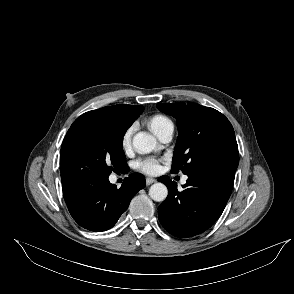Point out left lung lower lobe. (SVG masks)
<instances>
[{
    "mask_svg": "<svg viewBox=\"0 0 294 294\" xmlns=\"http://www.w3.org/2000/svg\"><path fill=\"white\" fill-rule=\"evenodd\" d=\"M238 162V152L220 156L199 173L189 175L181 192L168 176L160 177L169 191L158 207L162 226L178 238L192 237L210 228L231 195Z\"/></svg>",
    "mask_w": 294,
    "mask_h": 294,
    "instance_id": "1",
    "label": "left lung lower lobe"
}]
</instances>
